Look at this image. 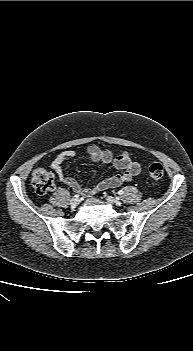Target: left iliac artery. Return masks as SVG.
Returning a JSON list of instances; mask_svg holds the SVG:
<instances>
[{"label":"left iliac artery","instance_id":"1","mask_svg":"<svg viewBox=\"0 0 193 351\" xmlns=\"http://www.w3.org/2000/svg\"><path fill=\"white\" fill-rule=\"evenodd\" d=\"M124 192L122 190L118 191V195H122Z\"/></svg>","mask_w":193,"mask_h":351}]
</instances>
